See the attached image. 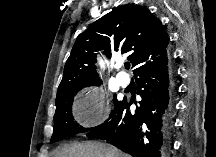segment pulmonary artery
<instances>
[{"instance_id": "pulmonary-artery-1", "label": "pulmonary artery", "mask_w": 216, "mask_h": 157, "mask_svg": "<svg viewBox=\"0 0 216 157\" xmlns=\"http://www.w3.org/2000/svg\"><path fill=\"white\" fill-rule=\"evenodd\" d=\"M116 79L118 81V83L122 86V87H126L129 85L130 83V78L129 76L124 73V72H119L117 75H116Z\"/></svg>"}]
</instances>
